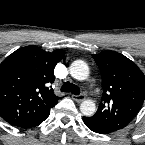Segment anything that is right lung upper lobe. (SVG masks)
<instances>
[{"mask_svg": "<svg viewBox=\"0 0 145 145\" xmlns=\"http://www.w3.org/2000/svg\"><path fill=\"white\" fill-rule=\"evenodd\" d=\"M64 55L62 49L46 52L26 46L0 64V116L5 121L18 126L50 112L61 99L50 84L54 67Z\"/></svg>", "mask_w": 145, "mask_h": 145, "instance_id": "1", "label": "right lung upper lobe"}]
</instances>
